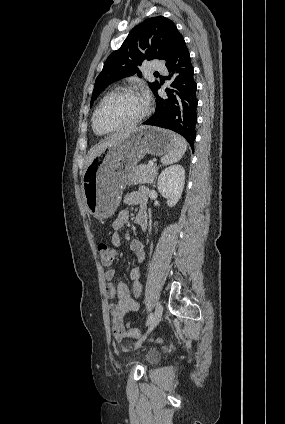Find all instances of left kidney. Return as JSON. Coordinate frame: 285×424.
Instances as JSON below:
<instances>
[{
  "label": "left kidney",
  "mask_w": 285,
  "mask_h": 424,
  "mask_svg": "<svg viewBox=\"0 0 285 424\" xmlns=\"http://www.w3.org/2000/svg\"><path fill=\"white\" fill-rule=\"evenodd\" d=\"M185 184V170L181 165L165 168L158 177L157 188L167 198V205L173 207L181 198Z\"/></svg>",
  "instance_id": "5707ae66"
}]
</instances>
